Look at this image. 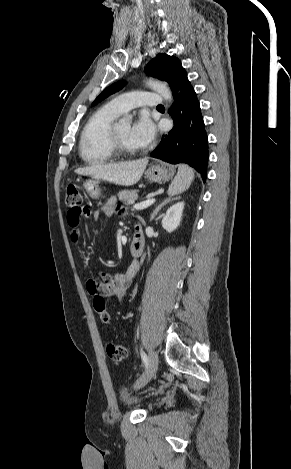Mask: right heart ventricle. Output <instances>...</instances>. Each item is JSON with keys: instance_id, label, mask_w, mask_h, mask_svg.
<instances>
[{"instance_id": "1", "label": "right heart ventricle", "mask_w": 291, "mask_h": 469, "mask_svg": "<svg viewBox=\"0 0 291 469\" xmlns=\"http://www.w3.org/2000/svg\"><path fill=\"white\" fill-rule=\"evenodd\" d=\"M121 112L111 103L98 108L85 123L79 139V153L87 164H102L114 159L109 131Z\"/></svg>"}]
</instances>
